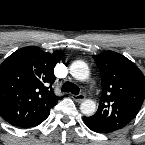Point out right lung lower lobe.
<instances>
[{
  "instance_id": "obj_1",
  "label": "right lung lower lobe",
  "mask_w": 145,
  "mask_h": 145,
  "mask_svg": "<svg viewBox=\"0 0 145 145\" xmlns=\"http://www.w3.org/2000/svg\"><path fill=\"white\" fill-rule=\"evenodd\" d=\"M49 116V114H47L46 116L36 120V121H33V122H29V123H26V124H23V125H20L18 127L20 128H30V127H35L37 125H39L40 123H42L47 117Z\"/></svg>"
}]
</instances>
